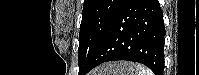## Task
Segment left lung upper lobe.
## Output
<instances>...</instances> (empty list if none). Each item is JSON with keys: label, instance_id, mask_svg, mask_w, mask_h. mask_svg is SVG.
<instances>
[{"label": "left lung upper lobe", "instance_id": "5c2ea615", "mask_svg": "<svg viewBox=\"0 0 199 75\" xmlns=\"http://www.w3.org/2000/svg\"><path fill=\"white\" fill-rule=\"evenodd\" d=\"M123 0H85L79 34L78 62L81 75L90 65Z\"/></svg>", "mask_w": 199, "mask_h": 75}]
</instances>
